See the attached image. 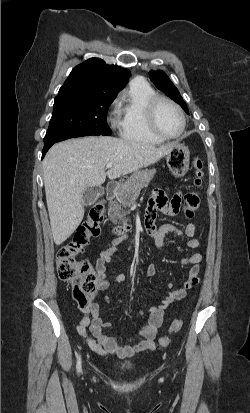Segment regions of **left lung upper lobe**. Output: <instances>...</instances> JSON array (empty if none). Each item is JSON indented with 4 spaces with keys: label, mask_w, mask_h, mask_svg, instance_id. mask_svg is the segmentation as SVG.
Masks as SVG:
<instances>
[{
    "label": "left lung upper lobe",
    "mask_w": 250,
    "mask_h": 413,
    "mask_svg": "<svg viewBox=\"0 0 250 413\" xmlns=\"http://www.w3.org/2000/svg\"><path fill=\"white\" fill-rule=\"evenodd\" d=\"M149 76L151 81L165 94H167L172 100L177 102L183 110L189 114L187 105L183 98L180 96L178 89L174 86L169 77L162 71H150Z\"/></svg>",
    "instance_id": "left-lung-upper-lobe-1"
}]
</instances>
